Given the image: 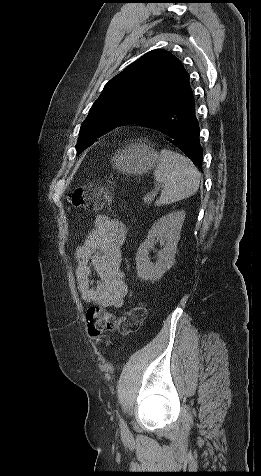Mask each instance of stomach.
I'll use <instances>...</instances> for the list:
<instances>
[{"mask_svg":"<svg viewBox=\"0 0 261 476\" xmlns=\"http://www.w3.org/2000/svg\"><path fill=\"white\" fill-rule=\"evenodd\" d=\"M159 160L158 153L146 144H131L117 150L112 157L113 167L127 174L142 175Z\"/></svg>","mask_w":261,"mask_h":476,"instance_id":"0dacf381","label":"stomach"}]
</instances>
